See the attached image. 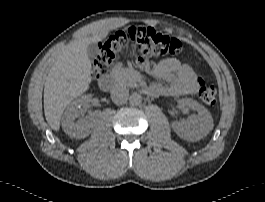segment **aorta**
<instances>
[{"label": "aorta", "mask_w": 265, "mask_h": 202, "mask_svg": "<svg viewBox=\"0 0 265 202\" xmlns=\"http://www.w3.org/2000/svg\"><path fill=\"white\" fill-rule=\"evenodd\" d=\"M129 102L132 106H139L142 104V96L139 93H133L129 97Z\"/></svg>", "instance_id": "762f6f07"}]
</instances>
